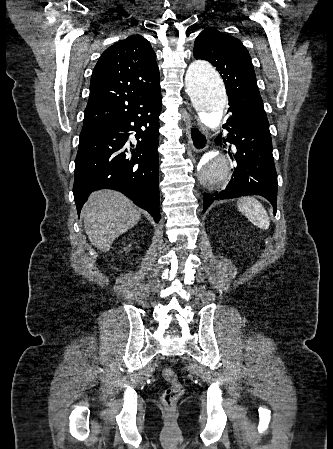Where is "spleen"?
I'll use <instances>...</instances> for the list:
<instances>
[{
  "mask_svg": "<svg viewBox=\"0 0 333 449\" xmlns=\"http://www.w3.org/2000/svg\"><path fill=\"white\" fill-rule=\"evenodd\" d=\"M238 209L254 225L261 229H267L270 225V219L263 205L252 196L239 199Z\"/></svg>",
  "mask_w": 333,
  "mask_h": 449,
  "instance_id": "1",
  "label": "spleen"
}]
</instances>
